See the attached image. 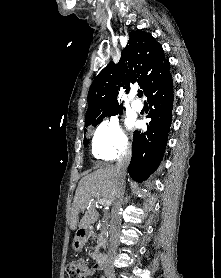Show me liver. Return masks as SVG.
I'll list each match as a JSON object with an SVG mask.
<instances>
[{
  "label": "liver",
  "mask_w": 221,
  "mask_h": 278,
  "mask_svg": "<svg viewBox=\"0 0 221 278\" xmlns=\"http://www.w3.org/2000/svg\"><path fill=\"white\" fill-rule=\"evenodd\" d=\"M119 183L116 166L109 165L102 167L84 176L76 189L71 213L70 228L72 230L87 229L94 224L99 215L96 211L97 201L103 197L113 203L115 190ZM80 210H86L84 216L79 221Z\"/></svg>",
  "instance_id": "1"
}]
</instances>
